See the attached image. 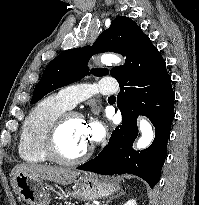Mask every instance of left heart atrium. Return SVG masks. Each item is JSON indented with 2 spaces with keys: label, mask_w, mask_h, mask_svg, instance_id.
<instances>
[{
  "label": "left heart atrium",
  "mask_w": 199,
  "mask_h": 205,
  "mask_svg": "<svg viewBox=\"0 0 199 205\" xmlns=\"http://www.w3.org/2000/svg\"><path fill=\"white\" fill-rule=\"evenodd\" d=\"M84 134L90 142H99L105 136V128L101 122L92 120L85 123Z\"/></svg>",
  "instance_id": "left-heart-atrium-1"
}]
</instances>
